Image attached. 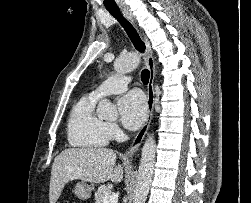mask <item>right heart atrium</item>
Returning <instances> with one entry per match:
<instances>
[{
	"label": "right heart atrium",
	"instance_id": "right-heart-atrium-1",
	"mask_svg": "<svg viewBox=\"0 0 251 203\" xmlns=\"http://www.w3.org/2000/svg\"><path fill=\"white\" fill-rule=\"evenodd\" d=\"M106 130L110 139L117 138L121 133L120 128L116 123H106Z\"/></svg>",
	"mask_w": 251,
	"mask_h": 203
}]
</instances>
